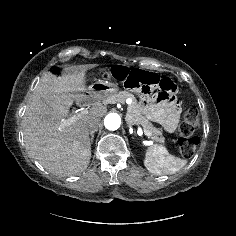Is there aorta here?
Segmentation results:
<instances>
[{"instance_id":"1","label":"aorta","mask_w":236,"mask_h":236,"mask_svg":"<svg viewBox=\"0 0 236 236\" xmlns=\"http://www.w3.org/2000/svg\"><path fill=\"white\" fill-rule=\"evenodd\" d=\"M104 125L108 130H117L121 125V118L117 113H109L104 119Z\"/></svg>"}]
</instances>
